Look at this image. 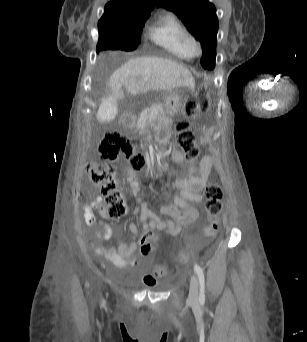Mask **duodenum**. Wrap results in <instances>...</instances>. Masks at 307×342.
I'll list each match as a JSON object with an SVG mask.
<instances>
[{"label":"duodenum","mask_w":307,"mask_h":342,"mask_svg":"<svg viewBox=\"0 0 307 342\" xmlns=\"http://www.w3.org/2000/svg\"><path fill=\"white\" fill-rule=\"evenodd\" d=\"M121 125L124 129H129L132 126V121L129 116H124L121 120Z\"/></svg>","instance_id":"410a0bca"}]
</instances>
